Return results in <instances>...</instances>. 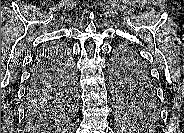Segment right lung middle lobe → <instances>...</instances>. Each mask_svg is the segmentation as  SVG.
<instances>
[{"label":"right lung middle lobe","mask_w":184,"mask_h":133,"mask_svg":"<svg viewBox=\"0 0 184 133\" xmlns=\"http://www.w3.org/2000/svg\"><path fill=\"white\" fill-rule=\"evenodd\" d=\"M46 49L50 51L44 52L42 56L53 54L57 63L50 68L51 84L43 92L35 93L32 97L26 95V109L31 117L58 106L71 105L74 100V68L69 55L65 56L62 52L67 53V51L59 44L48 46Z\"/></svg>","instance_id":"dd1d6c3e"}]
</instances>
